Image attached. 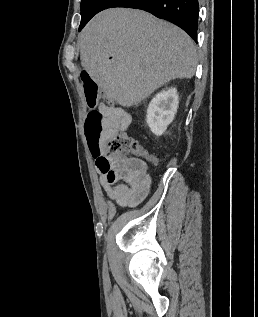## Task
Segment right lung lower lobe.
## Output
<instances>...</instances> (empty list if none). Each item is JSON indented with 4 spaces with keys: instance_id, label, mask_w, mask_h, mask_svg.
Listing matches in <instances>:
<instances>
[{
    "instance_id": "obj_1",
    "label": "right lung lower lobe",
    "mask_w": 258,
    "mask_h": 317,
    "mask_svg": "<svg viewBox=\"0 0 258 317\" xmlns=\"http://www.w3.org/2000/svg\"><path fill=\"white\" fill-rule=\"evenodd\" d=\"M111 7H127L150 12L179 26L197 42L198 0H88L81 8L79 31L95 14Z\"/></svg>"
}]
</instances>
